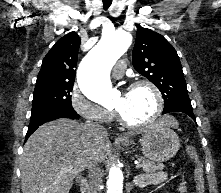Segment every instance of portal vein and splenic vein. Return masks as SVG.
<instances>
[{"label":"portal vein and splenic vein","instance_id":"obj_1","mask_svg":"<svg viewBox=\"0 0 221 193\" xmlns=\"http://www.w3.org/2000/svg\"><path fill=\"white\" fill-rule=\"evenodd\" d=\"M141 164L140 163H136V169H139L141 168ZM73 167L72 166H69V167H66V168H62L63 171H69L71 170Z\"/></svg>","mask_w":221,"mask_h":193}]
</instances>
